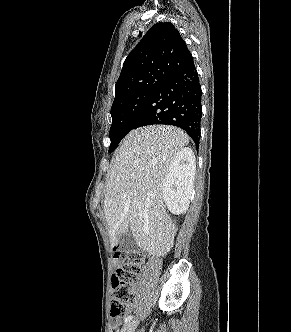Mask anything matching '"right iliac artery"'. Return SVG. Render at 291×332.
<instances>
[{"instance_id": "82829eb1", "label": "right iliac artery", "mask_w": 291, "mask_h": 332, "mask_svg": "<svg viewBox=\"0 0 291 332\" xmlns=\"http://www.w3.org/2000/svg\"><path fill=\"white\" fill-rule=\"evenodd\" d=\"M131 319H132V316L129 315V316H127V317L124 319V322H125V323H128V322H130Z\"/></svg>"}]
</instances>
